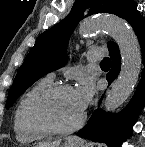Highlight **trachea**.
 Listing matches in <instances>:
<instances>
[{
    "label": "trachea",
    "instance_id": "trachea-1",
    "mask_svg": "<svg viewBox=\"0 0 145 147\" xmlns=\"http://www.w3.org/2000/svg\"><path fill=\"white\" fill-rule=\"evenodd\" d=\"M111 61L109 58H105L101 61V65H110Z\"/></svg>",
    "mask_w": 145,
    "mask_h": 147
}]
</instances>
